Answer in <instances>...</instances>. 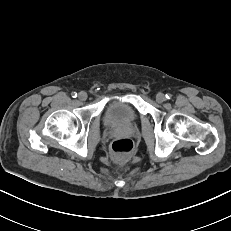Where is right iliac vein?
I'll use <instances>...</instances> for the list:
<instances>
[{
	"instance_id": "right-iliac-vein-1",
	"label": "right iliac vein",
	"mask_w": 231,
	"mask_h": 231,
	"mask_svg": "<svg viewBox=\"0 0 231 231\" xmlns=\"http://www.w3.org/2000/svg\"><path fill=\"white\" fill-rule=\"evenodd\" d=\"M87 97H88V95H87V93L85 91H81L78 94V99L80 101H85L87 99Z\"/></svg>"
}]
</instances>
